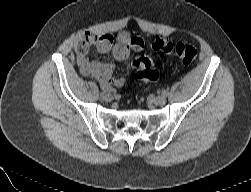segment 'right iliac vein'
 Instances as JSON below:
<instances>
[{
	"label": "right iliac vein",
	"instance_id": "1",
	"mask_svg": "<svg viewBox=\"0 0 251 192\" xmlns=\"http://www.w3.org/2000/svg\"><path fill=\"white\" fill-rule=\"evenodd\" d=\"M104 99L106 101H112L113 100V96L111 94H105Z\"/></svg>",
	"mask_w": 251,
	"mask_h": 192
}]
</instances>
